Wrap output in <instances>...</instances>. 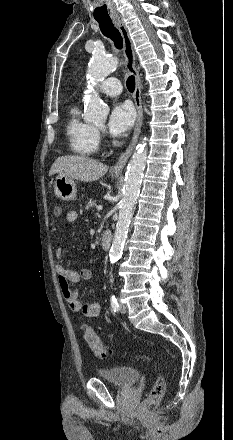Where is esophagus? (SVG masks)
<instances>
[{
    "label": "esophagus",
    "mask_w": 233,
    "mask_h": 440,
    "mask_svg": "<svg viewBox=\"0 0 233 440\" xmlns=\"http://www.w3.org/2000/svg\"><path fill=\"white\" fill-rule=\"evenodd\" d=\"M113 22L115 26L118 28L122 39H123V53L126 58V66L127 69L134 75L135 77V91H134V102L137 109V120L136 125L133 133L132 140L127 147V149L122 153L118 161L111 167V172L120 174L123 171V168L125 167L129 157L131 156L133 149L137 143L141 126H142V120H143V109H142V102H141V80L139 73L136 69V57L135 52L133 49V44L130 39V35L128 32V29L123 21V19L120 16H116L113 18Z\"/></svg>",
    "instance_id": "obj_1"
}]
</instances>
